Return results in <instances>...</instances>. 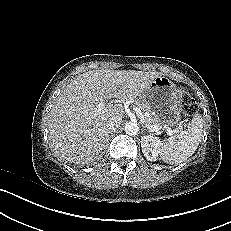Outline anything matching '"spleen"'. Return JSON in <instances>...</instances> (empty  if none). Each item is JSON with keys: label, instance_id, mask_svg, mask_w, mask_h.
<instances>
[{"label": "spleen", "instance_id": "obj_1", "mask_svg": "<svg viewBox=\"0 0 231 231\" xmlns=\"http://www.w3.org/2000/svg\"><path fill=\"white\" fill-rule=\"evenodd\" d=\"M203 132V118L196 114L188 123L187 129L167 140L160 142L159 153L163 161L178 164L194 154L201 141Z\"/></svg>", "mask_w": 231, "mask_h": 231}]
</instances>
